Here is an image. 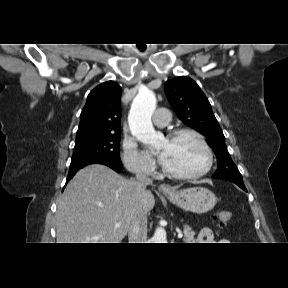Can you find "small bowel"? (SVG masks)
I'll use <instances>...</instances> for the list:
<instances>
[{"label":"small bowel","instance_id":"small-bowel-1","mask_svg":"<svg viewBox=\"0 0 288 288\" xmlns=\"http://www.w3.org/2000/svg\"><path fill=\"white\" fill-rule=\"evenodd\" d=\"M199 243H215L213 231L209 228H203L198 237ZM218 243H229L227 239H220Z\"/></svg>","mask_w":288,"mask_h":288}]
</instances>
